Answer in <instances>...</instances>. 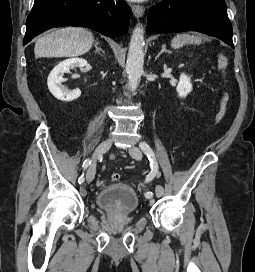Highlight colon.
<instances>
[{"mask_svg":"<svg viewBox=\"0 0 255 272\" xmlns=\"http://www.w3.org/2000/svg\"><path fill=\"white\" fill-rule=\"evenodd\" d=\"M228 65H229L228 58L224 54H220L217 59V66L222 78L223 87H222V93L219 100L218 110L216 113V121L218 123L224 118L226 114V109H227L228 95L226 92L225 84H226V71H227ZM111 180L114 182L119 181L120 174L113 173L111 175Z\"/></svg>","mask_w":255,"mask_h":272,"instance_id":"colon-1","label":"colon"}]
</instances>
